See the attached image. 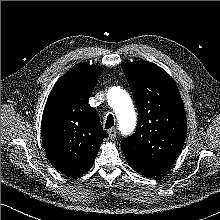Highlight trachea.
I'll return each mask as SVG.
<instances>
[{
  "label": "trachea",
  "mask_w": 220,
  "mask_h": 220,
  "mask_svg": "<svg viewBox=\"0 0 220 220\" xmlns=\"http://www.w3.org/2000/svg\"><path fill=\"white\" fill-rule=\"evenodd\" d=\"M114 126V117L112 114H109L106 117V121H105V129H110L111 127Z\"/></svg>",
  "instance_id": "obj_1"
}]
</instances>
